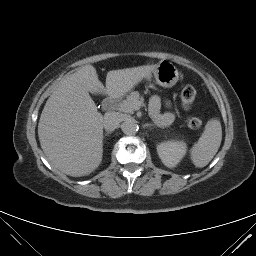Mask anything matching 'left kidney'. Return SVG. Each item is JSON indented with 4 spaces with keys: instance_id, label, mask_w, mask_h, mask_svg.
Instances as JSON below:
<instances>
[{
    "instance_id": "5707ae66",
    "label": "left kidney",
    "mask_w": 256,
    "mask_h": 256,
    "mask_svg": "<svg viewBox=\"0 0 256 256\" xmlns=\"http://www.w3.org/2000/svg\"><path fill=\"white\" fill-rule=\"evenodd\" d=\"M157 152L165 166L175 167L186 153V144L181 141L162 142L157 146Z\"/></svg>"
}]
</instances>
